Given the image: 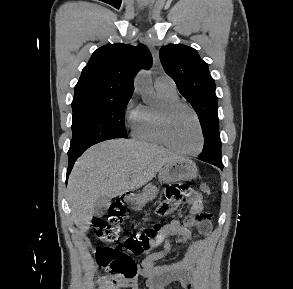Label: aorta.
<instances>
[{
    "mask_svg": "<svg viewBox=\"0 0 293 289\" xmlns=\"http://www.w3.org/2000/svg\"><path fill=\"white\" fill-rule=\"evenodd\" d=\"M135 88L142 92L146 98L152 97L151 77L147 70H141L135 78Z\"/></svg>",
    "mask_w": 293,
    "mask_h": 289,
    "instance_id": "aorta-1",
    "label": "aorta"
}]
</instances>
